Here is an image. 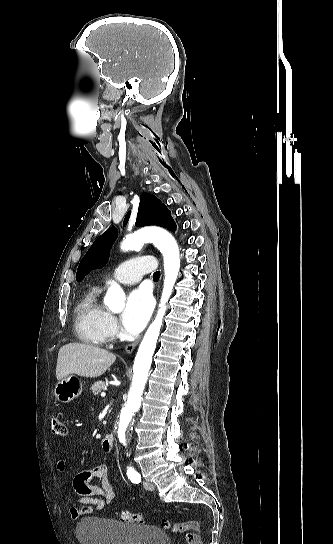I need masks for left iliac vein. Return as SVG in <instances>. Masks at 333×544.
Listing matches in <instances>:
<instances>
[{
    "mask_svg": "<svg viewBox=\"0 0 333 544\" xmlns=\"http://www.w3.org/2000/svg\"><path fill=\"white\" fill-rule=\"evenodd\" d=\"M143 485L146 490H154V485L150 481H144Z\"/></svg>",
    "mask_w": 333,
    "mask_h": 544,
    "instance_id": "1",
    "label": "left iliac vein"
}]
</instances>
